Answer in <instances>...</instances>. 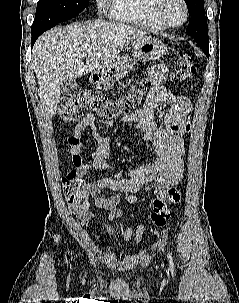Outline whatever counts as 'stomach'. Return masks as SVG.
<instances>
[{
  "label": "stomach",
  "instance_id": "0dacf381",
  "mask_svg": "<svg viewBox=\"0 0 239 303\" xmlns=\"http://www.w3.org/2000/svg\"><path fill=\"white\" fill-rule=\"evenodd\" d=\"M167 51L166 46L157 38L146 36L133 43L132 55H119L113 62L94 70L90 82L95 85H107L124 78L132 68V60L154 61Z\"/></svg>",
  "mask_w": 239,
  "mask_h": 303
}]
</instances>
